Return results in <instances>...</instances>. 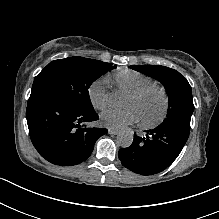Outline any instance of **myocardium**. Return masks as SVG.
<instances>
[{
	"instance_id": "obj_1",
	"label": "myocardium",
	"mask_w": 219,
	"mask_h": 219,
	"mask_svg": "<svg viewBox=\"0 0 219 219\" xmlns=\"http://www.w3.org/2000/svg\"><path fill=\"white\" fill-rule=\"evenodd\" d=\"M156 91L159 92L163 98V110L158 119L155 121H146L144 119H141V124L143 127L147 129H155L159 127L167 118L168 113H169V107H170V97L169 94L163 86L157 85V84H150L146 85L144 87L139 88L136 91H133L129 94L130 97L132 98H138L143 96L144 94L148 92Z\"/></svg>"
}]
</instances>
